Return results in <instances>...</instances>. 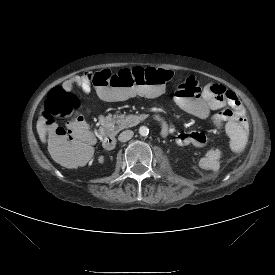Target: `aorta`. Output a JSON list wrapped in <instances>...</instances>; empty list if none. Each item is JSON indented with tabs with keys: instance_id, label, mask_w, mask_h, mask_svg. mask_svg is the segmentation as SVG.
Masks as SVG:
<instances>
[{
	"instance_id": "762f6f07",
	"label": "aorta",
	"mask_w": 275,
	"mask_h": 275,
	"mask_svg": "<svg viewBox=\"0 0 275 275\" xmlns=\"http://www.w3.org/2000/svg\"><path fill=\"white\" fill-rule=\"evenodd\" d=\"M148 133H149V129H148L146 126H141V127L139 128V134H140L141 136H147Z\"/></svg>"
}]
</instances>
